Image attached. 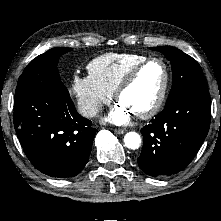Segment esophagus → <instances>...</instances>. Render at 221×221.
Masks as SVG:
<instances>
[{
  "label": "esophagus",
  "mask_w": 221,
  "mask_h": 221,
  "mask_svg": "<svg viewBox=\"0 0 221 221\" xmlns=\"http://www.w3.org/2000/svg\"><path fill=\"white\" fill-rule=\"evenodd\" d=\"M114 132L117 134H124L126 132L125 129H114Z\"/></svg>",
  "instance_id": "esophagus-1"
}]
</instances>
